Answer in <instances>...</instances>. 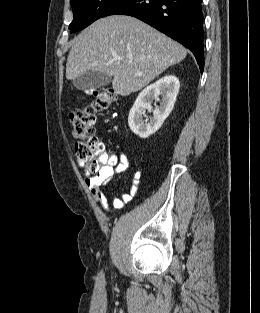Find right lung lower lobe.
I'll list each match as a JSON object with an SVG mask.
<instances>
[{
    "mask_svg": "<svg viewBox=\"0 0 260 313\" xmlns=\"http://www.w3.org/2000/svg\"><path fill=\"white\" fill-rule=\"evenodd\" d=\"M202 0H119L105 14L130 15L190 49L204 68Z\"/></svg>",
    "mask_w": 260,
    "mask_h": 313,
    "instance_id": "1",
    "label": "right lung lower lobe"
}]
</instances>
